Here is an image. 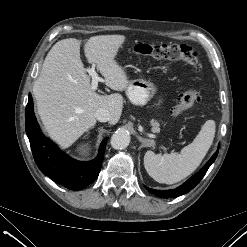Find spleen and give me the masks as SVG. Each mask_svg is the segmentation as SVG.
<instances>
[{
  "mask_svg": "<svg viewBox=\"0 0 247 247\" xmlns=\"http://www.w3.org/2000/svg\"><path fill=\"white\" fill-rule=\"evenodd\" d=\"M215 121L208 120L192 143L180 153L155 154L147 151L144 166L147 173L157 182L173 184L193 173L210 149L215 136Z\"/></svg>",
  "mask_w": 247,
  "mask_h": 247,
  "instance_id": "spleen-1",
  "label": "spleen"
}]
</instances>
